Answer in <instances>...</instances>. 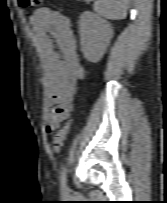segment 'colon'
<instances>
[{
  "mask_svg": "<svg viewBox=\"0 0 167 203\" xmlns=\"http://www.w3.org/2000/svg\"><path fill=\"white\" fill-rule=\"evenodd\" d=\"M42 2L43 0H18V5L23 9H28L32 7H39ZM71 124L72 119L67 120L65 124L56 133L52 143V148L55 153H58L61 150Z\"/></svg>",
  "mask_w": 167,
  "mask_h": 203,
  "instance_id": "colon-1",
  "label": "colon"
}]
</instances>
